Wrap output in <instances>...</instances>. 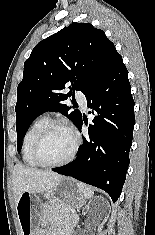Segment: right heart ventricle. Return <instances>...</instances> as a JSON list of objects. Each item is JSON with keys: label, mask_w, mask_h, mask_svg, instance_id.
<instances>
[{"label": "right heart ventricle", "mask_w": 155, "mask_h": 235, "mask_svg": "<svg viewBox=\"0 0 155 235\" xmlns=\"http://www.w3.org/2000/svg\"><path fill=\"white\" fill-rule=\"evenodd\" d=\"M49 121V118L45 115L36 118L28 127L23 136L21 148L22 160L26 165L30 167L39 166L33 159L32 148L38 134Z\"/></svg>", "instance_id": "1"}]
</instances>
